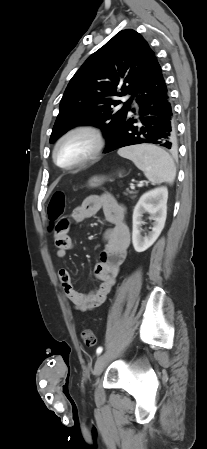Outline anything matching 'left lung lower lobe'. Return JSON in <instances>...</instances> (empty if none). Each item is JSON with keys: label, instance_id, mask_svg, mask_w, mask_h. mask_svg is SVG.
<instances>
[{"label": "left lung lower lobe", "instance_id": "0a47b994", "mask_svg": "<svg viewBox=\"0 0 207 449\" xmlns=\"http://www.w3.org/2000/svg\"><path fill=\"white\" fill-rule=\"evenodd\" d=\"M136 103L139 106L138 118L127 115L104 153L143 143L157 144L174 150L177 146L175 113L158 61L142 85ZM131 111L135 113V109Z\"/></svg>", "mask_w": 207, "mask_h": 449}]
</instances>
